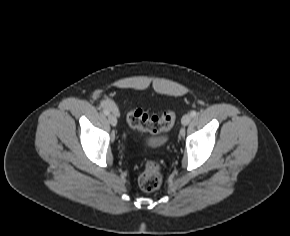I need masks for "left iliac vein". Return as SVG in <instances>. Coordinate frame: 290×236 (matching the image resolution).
<instances>
[{"label":"left iliac vein","instance_id":"obj_1","mask_svg":"<svg viewBox=\"0 0 290 236\" xmlns=\"http://www.w3.org/2000/svg\"><path fill=\"white\" fill-rule=\"evenodd\" d=\"M191 121V115L190 114H185L183 117H182V120H181V123L182 125L186 126L190 123Z\"/></svg>","mask_w":290,"mask_h":236}]
</instances>
